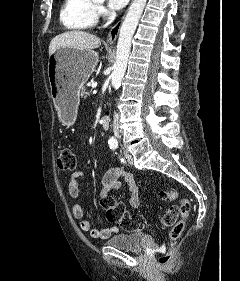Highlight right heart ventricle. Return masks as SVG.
I'll list each match as a JSON object with an SVG mask.
<instances>
[{
    "mask_svg": "<svg viewBox=\"0 0 240 281\" xmlns=\"http://www.w3.org/2000/svg\"><path fill=\"white\" fill-rule=\"evenodd\" d=\"M98 16V9L91 0H64L59 19L69 31H81L93 27Z\"/></svg>",
    "mask_w": 240,
    "mask_h": 281,
    "instance_id": "obj_1",
    "label": "right heart ventricle"
}]
</instances>
